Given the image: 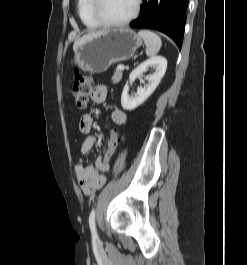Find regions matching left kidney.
Instances as JSON below:
<instances>
[{
	"label": "left kidney",
	"mask_w": 247,
	"mask_h": 265,
	"mask_svg": "<svg viewBox=\"0 0 247 265\" xmlns=\"http://www.w3.org/2000/svg\"><path fill=\"white\" fill-rule=\"evenodd\" d=\"M149 67H153L155 72L152 75L146 77L148 82L143 87L137 88V93L134 97L128 94L129 86L128 84L125 85L121 96V105L124 110H134L140 104L145 102L147 98L155 91L166 72L167 60L162 56H155L148 59L147 61H144L130 73V84H132L134 80L139 75L143 74Z\"/></svg>",
	"instance_id": "5707ae66"
}]
</instances>
